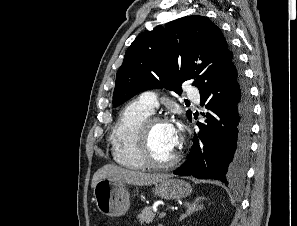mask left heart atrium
Here are the masks:
<instances>
[{"label":"left heart atrium","instance_id":"39dd6f15","mask_svg":"<svg viewBox=\"0 0 297 226\" xmlns=\"http://www.w3.org/2000/svg\"><path fill=\"white\" fill-rule=\"evenodd\" d=\"M169 125H170L173 139H174L175 143L178 145V143L180 141V137H181V129L178 124H169Z\"/></svg>","mask_w":297,"mask_h":226}]
</instances>
